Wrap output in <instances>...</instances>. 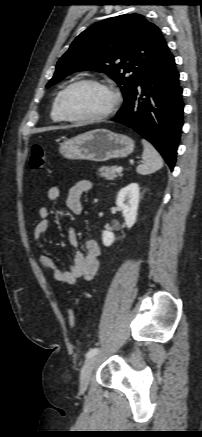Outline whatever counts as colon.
Masks as SVG:
<instances>
[{
  "label": "colon",
  "instance_id": "1",
  "mask_svg": "<svg viewBox=\"0 0 202 437\" xmlns=\"http://www.w3.org/2000/svg\"><path fill=\"white\" fill-rule=\"evenodd\" d=\"M46 162V150L41 145H34L32 147V153L30 157V168L31 169H40L44 166ZM68 324L71 328L75 327L76 325V313L75 311L70 308L68 310Z\"/></svg>",
  "mask_w": 202,
  "mask_h": 437
}]
</instances>
